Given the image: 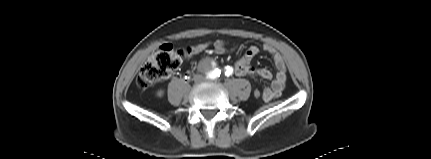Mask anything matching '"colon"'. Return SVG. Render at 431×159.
Here are the masks:
<instances>
[{"label":"colon","mask_w":431,"mask_h":159,"mask_svg":"<svg viewBox=\"0 0 431 159\" xmlns=\"http://www.w3.org/2000/svg\"><path fill=\"white\" fill-rule=\"evenodd\" d=\"M211 54L217 56H232L233 50L212 48ZM186 55L187 50L176 48L170 44L158 47L141 67L136 79L137 85L144 89L168 77L172 71L176 70L182 64ZM252 96L260 99L263 96V92L260 88H254Z\"/></svg>","instance_id":"obj_1"}]
</instances>
